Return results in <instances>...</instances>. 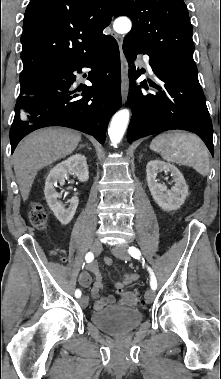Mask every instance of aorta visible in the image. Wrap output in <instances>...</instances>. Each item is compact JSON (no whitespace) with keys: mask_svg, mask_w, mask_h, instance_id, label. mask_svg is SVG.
I'll return each instance as SVG.
<instances>
[{"mask_svg":"<svg viewBox=\"0 0 221 379\" xmlns=\"http://www.w3.org/2000/svg\"><path fill=\"white\" fill-rule=\"evenodd\" d=\"M131 21L127 17H119L114 21L113 27L117 33H128L131 30ZM130 112L128 109H122L116 112L111 120L108 135L114 147L123 138L129 122Z\"/></svg>","mask_w":221,"mask_h":379,"instance_id":"obj_1","label":"aorta"}]
</instances>
